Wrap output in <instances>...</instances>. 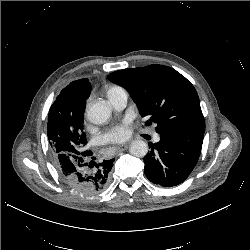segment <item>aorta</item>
Here are the masks:
<instances>
[{"instance_id": "1", "label": "aorta", "mask_w": 250, "mask_h": 250, "mask_svg": "<svg viewBox=\"0 0 250 250\" xmlns=\"http://www.w3.org/2000/svg\"><path fill=\"white\" fill-rule=\"evenodd\" d=\"M110 116L111 106L104 100L91 104L87 109V119L96 125L106 123ZM129 151L131 155L142 158L148 153V145L143 140H135L131 143Z\"/></svg>"}]
</instances>
